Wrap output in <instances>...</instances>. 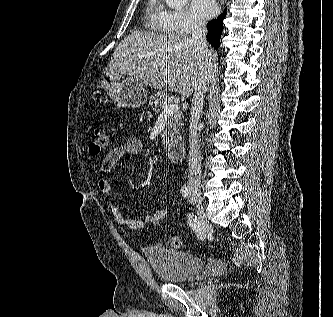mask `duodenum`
<instances>
[{
  "label": "duodenum",
  "instance_id": "obj_1",
  "mask_svg": "<svg viewBox=\"0 0 333 317\" xmlns=\"http://www.w3.org/2000/svg\"><path fill=\"white\" fill-rule=\"evenodd\" d=\"M186 151L184 139L179 138L171 141L167 148V154L172 162H180L183 160Z\"/></svg>",
  "mask_w": 333,
  "mask_h": 317
}]
</instances>
